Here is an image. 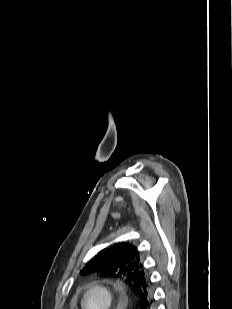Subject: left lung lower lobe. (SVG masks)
Here are the masks:
<instances>
[{"instance_id":"0a47b994","label":"left lung lower lobe","mask_w":232,"mask_h":309,"mask_svg":"<svg viewBox=\"0 0 232 309\" xmlns=\"http://www.w3.org/2000/svg\"><path fill=\"white\" fill-rule=\"evenodd\" d=\"M140 309H154L155 308V300L151 297L147 302L139 303Z\"/></svg>"}]
</instances>
